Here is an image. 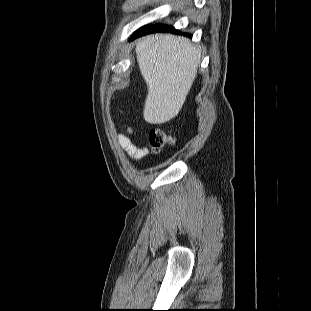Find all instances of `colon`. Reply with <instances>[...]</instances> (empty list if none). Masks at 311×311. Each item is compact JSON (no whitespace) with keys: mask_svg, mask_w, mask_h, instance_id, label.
<instances>
[{"mask_svg":"<svg viewBox=\"0 0 311 311\" xmlns=\"http://www.w3.org/2000/svg\"><path fill=\"white\" fill-rule=\"evenodd\" d=\"M150 142L154 150H160L175 143V139L161 127H155L150 131Z\"/></svg>","mask_w":311,"mask_h":311,"instance_id":"1","label":"colon"}]
</instances>
